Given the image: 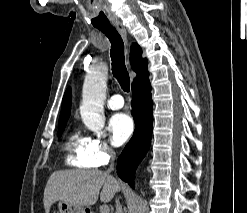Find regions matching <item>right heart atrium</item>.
Listing matches in <instances>:
<instances>
[{
    "mask_svg": "<svg viewBox=\"0 0 247 213\" xmlns=\"http://www.w3.org/2000/svg\"><path fill=\"white\" fill-rule=\"evenodd\" d=\"M115 152L111 144L100 137L88 138L87 158L93 167L107 165Z\"/></svg>",
    "mask_w": 247,
    "mask_h": 213,
    "instance_id": "obj_1",
    "label": "right heart atrium"
}]
</instances>
